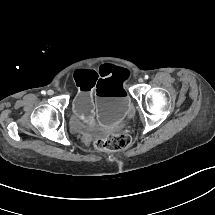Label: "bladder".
<instances>
[{
  "mask_svg": "<svg viewBox=\"0 0 215 215\" xmlns=\"http://www.w3.org/2000/svg\"><path fill=\"white\" fill-rule=\"evenodd\" d=\"M70 127L74 132L77 133H84V132H93V133H100L101 130L99 128H88L76 121H70Z\"/></svg>",
  "mask_w": 215,
  "mask_h": 215,
  "instance_id": "bladder-1",
  "label": "bladder"
}]
</instances>
